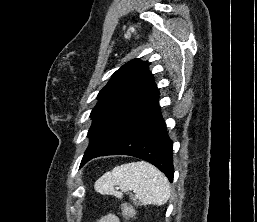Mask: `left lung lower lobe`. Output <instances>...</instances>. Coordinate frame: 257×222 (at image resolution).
I'll list each match as a JSON object with an SVG mask.
<instances>
[{
	"label": "left lung lower lobe",
	"mask_w": 257,
	"mask_h": 222,
	"mask_svg": "<svg viewBox=\"0 0 257 222\" xmlns=\"http://www.w3.org/2000/svg\"><path fill=\"white\" fill-rule=\"evenodd\" d=\"M173 142L160 112L158 99L129 121L97 153L84 159L83 166L92 158L106 155H130L148 161L173 180Z\"/></svg>",
	"instance_id": "obj_1"
}]
</instances>
